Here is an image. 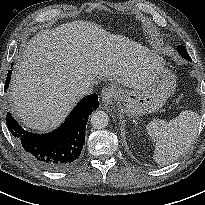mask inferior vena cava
Masks as SVG:
<instances>
[{
  "label": "inferior vena cava",
  "instance_id": "obj_1",
  "mask_svg": "<svg viewBox=\"0 0 205 205\" xmlns=\"http://www.w3.org/2000/svg\"><path fill=\"white\" fill-rule=\"evenodd\" d=\"M94 84L95 80L87 79L74 87L73 94L78 98L85 95H89L93 91Z\"/></svg>",
  "mask_w": 205,
  "mask_h": 205
}]
</instances>
